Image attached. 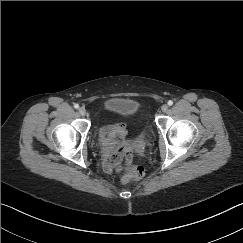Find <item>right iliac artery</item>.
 <instances>
[{"label": "right iliac artery", "instance_id": "obj_1", "mask_svg": "<svg viewBox=\"0 0 243 243\" xmlns=\"http://www.w3.org/2000/svg\"><path fill=\"white\" fill-rule=\"evenodd\" d=\"M74 108L75 109H78L79 108V105L78 104H74Z\"/></svg>", "mask_w": 243, "mask_h": 243}]
</instances>
